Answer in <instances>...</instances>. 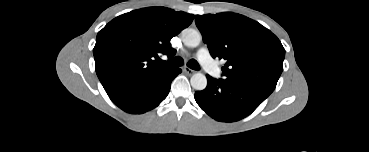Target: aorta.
I'll return each mask as SVG.
<instances>
[{"label":"aorta","mask_w":369,"mask_h":152,"mask_svg":"<svg viewBox=\"0 0 369 152\" xmlns=\"http://www.w3.org/2000/svg\"><path fill=\"white\" fill-rule=\"evenodd\" d=\"M182 41L187 47H197L201 42V34L195 29L186 28L182 31ZM190 82L195 90H203L207 86L206 76L199 72L192 75Z\"/></svg>","instance_id":"762f6f07"}]
</instances>
